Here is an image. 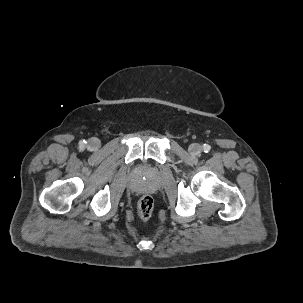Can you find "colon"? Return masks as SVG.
I'll list each match as a JSON object with an SVG mask.
<instances>
[{"label":"colon","mask_w":303,"mask_h":303,"mask_svg":"<svg viewBox=\"0 0 303 303\" xmlns=\"http://www.w3.org/2000/svg\"><path fill=\"white\" fill-rule=\"evenodd\" d=\"M153 199L149 195L141 197L138 203V216L142 221H147L153 211Z\"/></svg>","instance_id":"obj_1"}]
</instances>
